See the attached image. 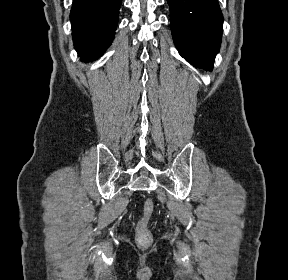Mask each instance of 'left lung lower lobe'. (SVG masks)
<instances>
[{
    "label": "left lung lower lobe",
    "instance_id": "left-lung-lower-lobe-1",
    "mask_svg": "<svg viewBox=\"0 0 288 280\" xmlns=\"http://www.w3.org/2000/svg\"><path fill=\"white\" fill-rule=\"evenodd\" d=\"M171 30L180 55L193 66L213 68L219 52L223 15L217 0H167Z\"/></svg>",
    "mask_w": 288,
    "mask_h": 280
}]
</instances>
